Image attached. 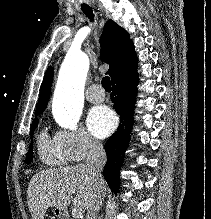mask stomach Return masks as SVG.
<instances>
[{"mask_svg":"<svg viewBox=\"0 0 211 219\" xmlns=\"http://www.w3.org/2000/svg\"><path fill=\"white\" fill-rule=\"evenodd\" d=\"M54 213L59 215V216L64 214L63 210H60V209H56Z\"/></svg>","mask_w":211,"mask_h":219,"instance_id":"0dacf381","label":"stomach"}]
</instances>
